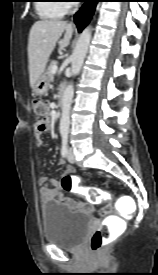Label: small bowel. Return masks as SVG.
Returning a JSON list of instances; mask_svg holds the SVG:
<instances>
[{
  "label": "small bowel",
  "mask_w": 158,
  "mask_h": 275,
  "mask_svg": "<svg viewBox=\"0 0 158 275\" xmlns=\"http://www.w3.org/2000/svg\"><path fill=\"white\" fill-rule=\"evenodd\" d=\"M48 130H49V123H48V128L45 131H48ZM45 131L40 132L35 128V137L37 140V144L39 146L43 144L41 136ZM64 162L65 161L63 159H60L58 163L59 165H63ZM71 171H72L71 167L67 168L66 174H69ZM38 183L40 186L41 200L44 204L52 203V202H60L72 210H77V211L89 213V214L94 212L93 202L78 201L74 198L65 196L64 191L61 187V182L57 181L56 179L42 176L39 178ZM50 186H52L53 188H50Z\"/></svg>",
  "instance_id": "1"
}]
</instances>
